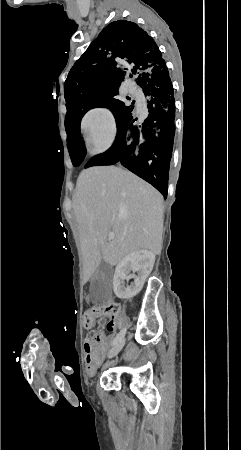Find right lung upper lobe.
Returning <instances> with one entry per match:
<instances>
[{
  "label": "right lung upper lobe",
  "mask_w": 241,
  "mask_h": 450,
  "mask_svg": "<svg viewBox=\"0 0 241 450\" xmlns=\"http://www.w3.org/2000/svg\"><path fill=\"white\" fill-rule=\"evenodd\" d=\"M166 65L162 53L136 23L118 20L105 27L70 72L91 85L119 90L128 77H140Z\"/></svg>",
  "instance_id": "1"
}]
</instances>
